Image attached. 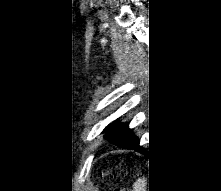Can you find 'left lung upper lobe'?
I'll return each mask as SVG.
<instances>
[{
    "label": "left lung upper lobe",
    "instance_id": "obj_1",
    "mask_svg": "<svg viewBox=\"0 0 221 191\" xmlns=\"http://www.w3.org/2000/svg\"><path fill=\"white\" fill-rule=\"evenodd\" d=\"M104 132H107L105 138L113 144L129 149H140V140L135 136L132 129L128 127L127 123H121L115 120L108 125Z\"/></svg>",
    "mask_w": 221,
    "mask_h": 191
}]
</instances>
